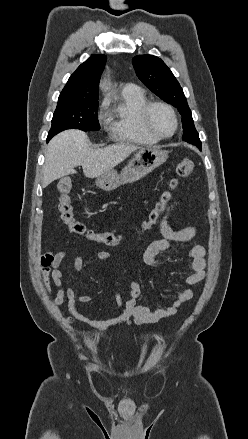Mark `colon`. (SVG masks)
Returning <instances> with one entry per match:
<instances>
[{"mask_svg":"<svg viewBox=\"0 0 248 439\" xmlns=\"http://www.w3.org/2000/svg\"><path fill=\"white\" fill-rule=\"evenodd\" d=\"M194 171V163L192 160L186 158L178 162L176 166V177L172 178L167 189L164 190L149 212L146 220L141 226V230H146L155 225L161 219L162 214L167 210L171 199L172 191L177 187L178 178L189 177ZM72 189V182L70 178H62L58 182V190L60 192L59 211L61 219L69 230L78 236H81L89 242L113 247L119 245L123 241L121 234L114 231H98L88 229L82 222L76 219L74 208L70 197Z\"/></svg>","mask_w":248,"mask_h":439,"instance_id":"1","label":"colon"}]
</instances>
